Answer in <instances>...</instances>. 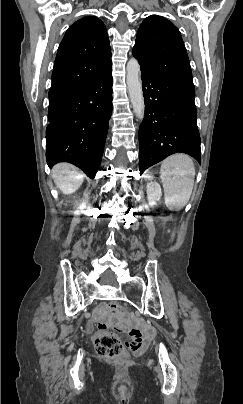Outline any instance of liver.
Listing matches in <instances>:
<instances>
[{
    "mask_svg": "<svg viewBox=\"0 0 243 404\" xmlns=\"http://www.w3.org/2000/svg\"><path fill=\"white\" fill-rule=\"evenodd\" d=\"M52 178L62 194H74L84 182V174L71 164H57L52 170Z\"/></svg>",
    "mask_w": 243,
    "mask_h": 404,
    "instance_id": "6515ba94",
    "label": "liver"
}]
</instances>
